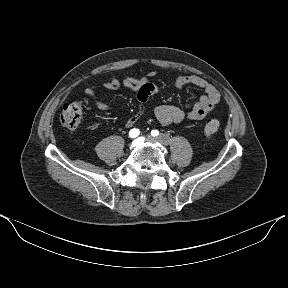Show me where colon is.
Wrapping results in <instances>:
<instances>
[{"label":"colon","mask_w":288,"mask_h":288,"mask_svg":"<svg viewBox=\"0 0 288 288\" xmlns=\"http://www.w3.org/2000/svg\"><path fill=\"white\" fill-rule=\"evenodd\" d=\"M84 118V106L81 102L75 101L63 106L60 122L70 130L76 129ZM219 129V121L216 119L209 120L204 126L206 136L215 134Z\"/></svg>","instance_id":"5ec220e1"}]
</instances>
